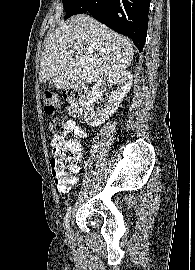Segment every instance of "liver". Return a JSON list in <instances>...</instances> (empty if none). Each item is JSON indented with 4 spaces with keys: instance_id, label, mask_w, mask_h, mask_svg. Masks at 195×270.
<instances>
[{
    "instance_id": "6515ba94",
    "label": "liver",
    "mask_w": 195,
    "mask_h": 270,
    "mask_svg": "<svg viewBox=\"0 0 195 270\" xmlns=\"http://www.w3.org/2000/svg\"><path fill=\"white\" fill-rule=\"evenodd\" d=\"M133 56L129 39L88 15H76L47 36L39 79L69 89L124 71Z\"/></svg>"
}]
</instances>
